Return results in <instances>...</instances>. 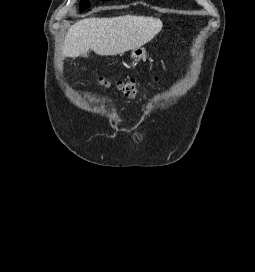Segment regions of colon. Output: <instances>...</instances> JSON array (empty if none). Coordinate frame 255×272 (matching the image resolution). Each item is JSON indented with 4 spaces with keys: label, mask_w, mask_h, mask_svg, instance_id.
Here are the masks:
<instances>
[{
    "label": "colon",
    "mask_w": 255,
    "mask_h": 272,
    "mask_svg": "<svg viewBox=\"0 0 255 272\" xmlns=\"http://www.w3.org/2000/svg\"><path fill=\"white\" fill-rule=\"evenodd\" d=\"M105 85H109L110 83L104 79L101 81ZM116 86L120 91L123 92L129 98H133L138 94V87L133 79H124L120 80L116 83Z\"/></svg>",
    "instance_id": "5ec220e1"
}]
</instances>
